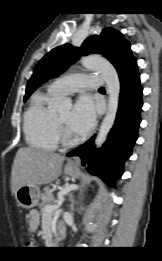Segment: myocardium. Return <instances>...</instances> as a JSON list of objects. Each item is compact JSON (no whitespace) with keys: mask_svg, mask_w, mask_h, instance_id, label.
Masks as SVG:
<instances>
[{"mask_svg":"<svg viewBox=\"0 0 162 261\" xmlns=\"http://www.w3.org/2000/svg\"><path fill=\"white\" fill-rule=\"evenodd\" d=\"M54 125L58 139H60L63 144H74L75 139L72 137L71 133L64 127V125L57 119L56 115H54Z\"/></svg>","mask_w":162,"mask_h":261,"instance_id":"obj_1","label":"myocardium"}]
</instances>
